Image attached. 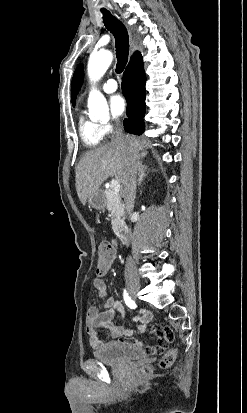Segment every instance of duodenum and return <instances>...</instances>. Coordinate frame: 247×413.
<instances>
[{"label":"duodenum","instance_id":"1","mask_svg":"<svg viewBox=\"0 0 247 413\" xmlns=\"http://www.w3.org/2000/svg\"><path fill=\"white\" fill-rule=\"evenodd\" d=\"M116 236L121 242L126 241V239L128 238V229L125 226L118 227L116 230Z\"/></svg>","mask_w":247,"mask_h":413}]
</instances>
